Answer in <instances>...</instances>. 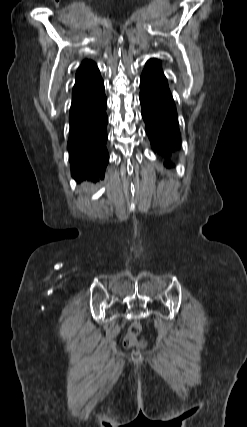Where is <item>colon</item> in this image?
Wrapping results in <instances>:
<instances>
[{"instance_id": "colon-1", "label": "colon", "mask_w": 247, "mask_h": 427, "mask_svg": "<svg viewBox=\"0 0 247 427\" xmlns=\"http://www.w3.org/2000/svg\"><path fill=\"white\" fill-rule=\"evenodd\" d=\"M141 331V327L138 323H134L130 326L127 336L124 339V346L129 348L138 344L137 337Z\"/></svg>"}]
</instances>
